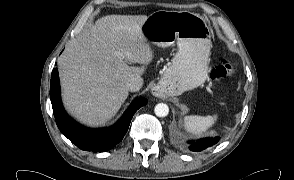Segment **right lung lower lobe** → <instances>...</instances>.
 Listing matches in <instances>:
<instances>
[{"label": "right lung lower lobe", "mask_w": 294, "mask_h": 180, "mask_svg": "<svg viewBox=\"0 0 294 180\" xmlns=\"http://www.w3.org/2000/svg\"><path fill=\"white\" fill-rule=\"evenodd\" d=\"M50 99L56 124L62 134L77 147L86 151L104 152L122 141L134 113L147 103L146 99L134 101L118 123L105 129H88L71 119L65 112L60 99L58 70L51 75Z\"/></svg>", "instance_id": "right-lung-lower-lobe-1"}]
</instances>
